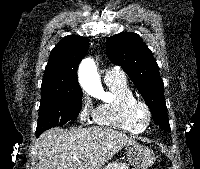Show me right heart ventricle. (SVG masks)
<instances>
[{"label": "right heart ventricle", "mask_w": 200, "mask_h": 169, "mask_svg": "<svg viewBox=\"0 0 200 169\" xmlns=\"http://www.w3.org/2000/svg\"><path fill=\"white\" fill-rule=\"evenodd\" d=\"M112 98L94 111L93 119L101 126L110 127L130 133H141L143 128L130 118L129 106L136 100V95L124 77L105 81Z\"/></svg>", "instance_id": "right-heart-ventricle-1"}]
</instances>
